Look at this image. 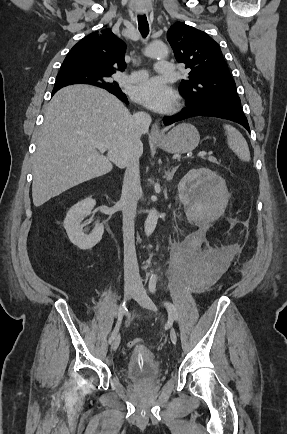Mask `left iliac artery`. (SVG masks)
I'll use <instances>...</instances> for the list:
<instances>
[{
	"mask_svg": "<svg viewBox=\"0 0 287 434\" xmlns=\"http://www.w3.org/2000/svg\"><path fill=\"white\" fill-rule=\"evenodd\" d=\"M156 283H157V276L156 274L152 273L149 281V290L151 293H155L156 291ZM164 306L167 309L168 315L170 318H174L177 320V312L174 305L169 301H163Z\"/></svg>",
	"mask_w": 287,
	"mask_h": 434,
	"instance_id": "left-iliac-artery-1",
	"label": "left iliac artery"
}]
</instances>
